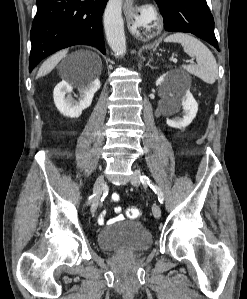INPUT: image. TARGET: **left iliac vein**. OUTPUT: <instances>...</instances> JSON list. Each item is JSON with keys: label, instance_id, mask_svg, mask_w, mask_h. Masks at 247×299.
I'll return each mask as SVG.
<instances>
[{"label": "left iliac vein", "instance_id": "left-iliac-vein-1", "mask_svg": "<svg viewBox=\"0 0 247 299\" xmlns=\"http://www.w3.org/2000/svg\"><path fill=\"white\" fill-rule=\"evenodd\" d=\"M140 177H141L140 170H137V169L133 170V174H132V177H131L132 185L139 186L140 183H141ZM152 212H153V215H154L155 218H160L161 217V209H160V206L158 204L154 203L152 205Z\"/></svg>", "mask_w": 247, "mask_h": 299}]
</instances>
